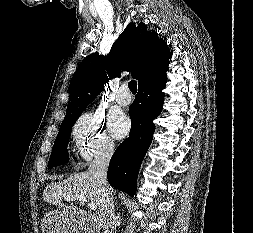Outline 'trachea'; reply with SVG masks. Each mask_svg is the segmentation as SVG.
Returning a JSON list of instances; mask_svg holds the SVG:
<instances>
[{
	"label": "trachea",
	"mask_w": 253,
	"mask_h": 233,
	"mask_svg": "<svg viewBox=\"0 0 253 233\" xmlns=\"http://www.w3.org/2000/svg\"><path fill=\"white\" fill-rule=\"evenodd\" d=\"M128 86H129V89L130 91L135 94L137 92V83L135 80H131L129 83H128Z\"/></svg>",
	"instance_id": "trachea-1"
}]
</instances>
